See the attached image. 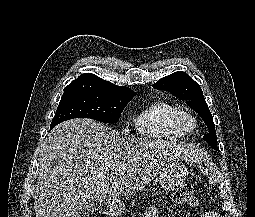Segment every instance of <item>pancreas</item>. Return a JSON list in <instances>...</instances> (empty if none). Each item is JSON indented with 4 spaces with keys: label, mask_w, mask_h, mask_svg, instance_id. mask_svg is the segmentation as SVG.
<instances>
[{
    "label": "pancreas",
    "mask_w": 255,
    "mask_h": 217,
    "mask_svg": "<svg viewBox=\"0 0 255 217\" xmlns=\"http://www.w3.org/2000/svg\"><path fill=\"white\" fill-rule=\"evenodd\" d=\"M136 203V200H132L130 206H133Z\"/></svg>",
    "instance_id": "cf45deb5"
}]
</instances>
